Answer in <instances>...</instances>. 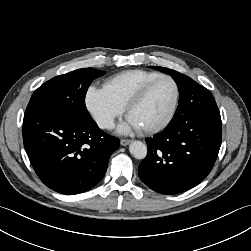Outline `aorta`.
<instances>
[{
    "instance_id": "1",
    "label": "aorta",
    "mask_w": 251,
    "mask_h": 251,
    "mask_svg": "<svg viewBox=\"0 0 251 251\" xmlns=\"http://www.w3.org/2000/svg\"><path fill=\"white\" fill-rule=\"evenodd\" d=\"M129 151L136 159H144L147 155V146L141 141H133L129 145Z\"/></svg>"
}]
</instances>
